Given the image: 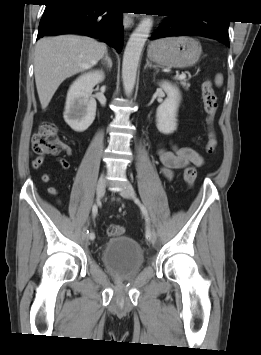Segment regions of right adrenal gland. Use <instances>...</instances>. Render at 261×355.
<instances>
[{
    "mask_svg": "<svg viewBox=\"0 0 261 355\" xmlns=\"http://www.w3.org/2000/svg\"><path fill=\"white\" fill-rule=\"evenodd\" d=\"M101 63L106 66L107 70H111L112 68V60L108 55V51H106L104 58L102 59Z\"/></svg>",
    "mask_w": 261,
    "mask_h": 355,
    "instance_id": "1",
    "label": "right adrenal gland"
}]
</instances>
